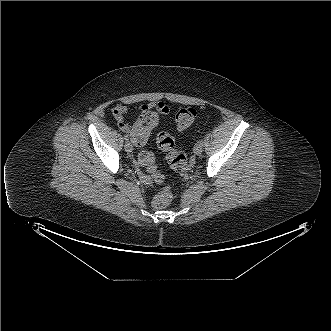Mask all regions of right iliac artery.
Here are the masks:
<instances>
[{
	"label": "right iliac artery",
	"instance_id": "1",
	"mask_svg": "<svg viewBox=\"0 0 331 331\" xmlns=\"http://www.w3.org/2000/svg\"><path fill=\"white\" fill-rule=\"evenodd\" d=\"M124 139H125L126 141H128V140H129V137H128L127 135H124Z\"/></svg>",
	"mask_w": 331,
	"mask_h": 331
}]
</instances>
